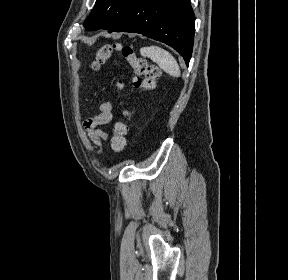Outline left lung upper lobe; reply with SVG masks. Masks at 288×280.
<instances>
[{"instance_id": "left-lung-upper-lobe-1", "label": "left lung upper lobe", "mask_w": 288, "mask_h": 280, "mask_svg": "<svg viewBox=\"0 0 288 280\" xmlns=\"http://www.w3.org/2000/svg\"><path fill=\"white\" fill-rule=\"evenodd\" d=\"M139 0H96L95 8L84 22L90 30L104 28L111 33Z\"/></svg>"}]
</instances>
